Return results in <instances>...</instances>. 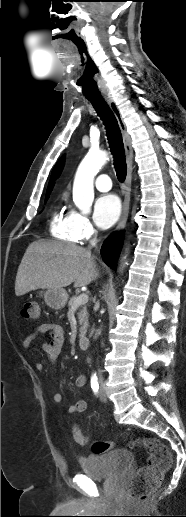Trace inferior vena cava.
Segmentation results:
<instances>
[{
    "instance_id": "1",
    "label": "inferior vena cava",
    "mask_w": 186,
    "mask_h": 517,
    "mask_svg": "<svg viewBox=\"0 0 186 517\" xmlns=\"http://www.w3.org/2000/svg\"><path fill=\"white\" fill-rule=\"evenodd\" d=\"M96 243H97V239H96V238H94V239L91 241V245H92V246H95V245H96ZM98 375H99V378L101 379V378H102V375H101V373H100V372L98 373Z\"/></svg>"
}]
</instances>
